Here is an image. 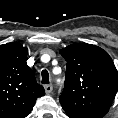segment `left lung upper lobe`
<instances>
[{
	"instance_id": "1",
	"label": "left lung upper lobe",
	"mask_w": 118,
	"mask_h": 118,
	"mask_svg": "<svg viewBox=\"0 0 118 118\" xmlns=\"http://www.w3.org/2000/svg\"><path fill=\"white\" fill-rule=\"evenodd\" d=\"M67 61L60 103L70 118H102L118 90V72L106 51L75 43L60 50Z\"/></svg>"
}]
</instances>
